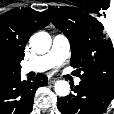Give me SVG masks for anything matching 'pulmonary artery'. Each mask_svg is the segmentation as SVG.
I'll return each mask as SVG.
<instances>
[{
    "mask_svg": "<svg viewBox=\"0 0 114 114\" xmlns=\"http://www.w3.org/2000/svg\"><path fill=\"white\" fill-rule=\"evenodd\" d=\"M70 44L68 39L63 35H56L50 51L42 56L36 57L26 62L22 71L28 73L31 71L42 72L63 63L68 57ZM80 78L75 79V83H80Z\"/></svg>",
    "mask_w": 114,
    "mask_h": 114,
    "instance_id": "e3ab8cb5",
    "label": "pulmonary artery"
}]
</instances>
